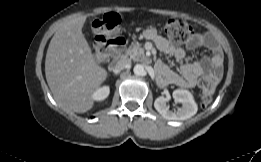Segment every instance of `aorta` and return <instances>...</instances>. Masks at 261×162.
Listing matches in <instances>:
<instances>
[{
	"mask_svg": "<svg viewBox=\"0 0 261 162\" xmlns=\"http://www.w3.org/2000/svg\"><path fill=\"white\" fill-rule=\"evenodd\" d=\"M133 71L135 75H143L145 72L144 67L141 64H136L133 68Z\"/></svg>",
	"mask_w": 261,
	"mask_h": 162,
	"instance_id": "1",
	"label": "aorta"
}]
</instances>
